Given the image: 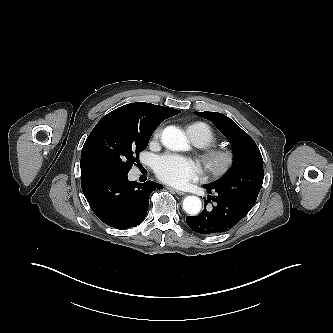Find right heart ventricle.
<instances>
[{"label": "right heart ventricle", "instance_id": "obj_1", "mask_svg": "<svg viewBox=\"0 0 333 333\" xmlns=\"http://www.w3.org/2000/svg\"><path fill=\"white\" fill-rule=\"evenodd\" d=\"M189 137L194 143H199L205 147L216 141V134L213 129L204 122H194L187 128Z\"/></svg>", "mask_w": 333, "mask_h": 333}]
</instances>
